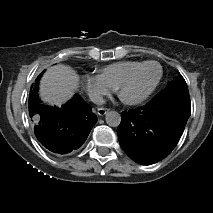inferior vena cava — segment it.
<instances>
[{"instance_id": "inferior-vena-cava-1", "label": "inferior vena cava", "mask_w": 213, "mask_h": 213, "mask_svg": "<svg viewBox=\"0 0 213 213\" xmlns=\"http://www.w3.org/2000/svg\"><path fill=\"white\" fill-rule=\"evenodd\" d=\"M89 99L91 102L97 105H103L105 103L103 96L97 93L90 94Z\"/></svg>"}]
</instances>
